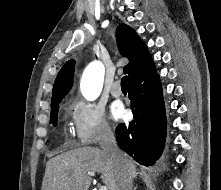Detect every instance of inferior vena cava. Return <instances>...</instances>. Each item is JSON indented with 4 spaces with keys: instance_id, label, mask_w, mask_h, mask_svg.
<instances>
[{
    "instance_id": "1",
    "label": "inferior vena cava",
    "mask_w": 221,
    "mask_h": 190,
    "mask_svg": "<svg viewBox=\"0 0 221 190\" xmlns=\"http://www.w3.org/2000/svg\"><path fill=\"white\" fill-rule=\"evenodd\" d=\"M100 147L119 169L120 175L116 190H132V178L128 163L124 154L119 150L114 134L110 128L104 129L100 141Z\"/></svg>"
}]
</instances>
